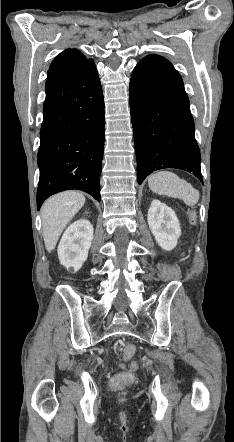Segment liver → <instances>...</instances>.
Listing matches in <instances>:
<instances>
[{"label":"liver","instance_id":"6515ba94","mask_svg":"<svg viewBox=\"0 0 234 442\" xmlns=\"http://www.w3.org/2000/svg\"><path fill=\"white\" fill-rule=\"evenodd\" d=\"M85 197L76 191H65L49 198L42 206V228L45 247L54 250L60 235L83 207Z\"/></svg>","mask_w":234,"mask_h":442}]
</instances>
